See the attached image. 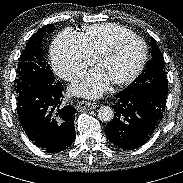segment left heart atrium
I'll return each mask as SVG.
<instances>
[{
    "label": "left heart atrium",
    "mask_w": 183,
    "mask_h": 183,
    "mask_svg": "<svg viewBox=\"0 0 183 183\" xmlns=\"http://www.w3.org/2000/svg\"><path fill=\"white\" fill-rule=\"evenodd\" d=\"M110 81L98 67L71 87V92L85 98H98L109 87Z\"/></svg>",
    "instance_id": "1"
}]
</instances>
